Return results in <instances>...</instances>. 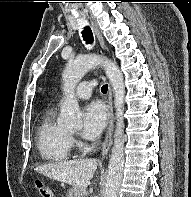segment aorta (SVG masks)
<instances>
[{
	"mask_svg": "<svg viewBox=\"0 0 191 197\" xmlns=\"http://www.w3.org/2000/svg\"><path fill=\"white\" fill-rule=\"evenodd\" d=\"M98 65L104 67L106 76L111 83L116 109L114 145L108 166L104 197H118L124 167L123 115L125 97L124 79L118 65L105 57L97 55H86L68 61L62 74L65 98L61 105V114L58 122L67 128H82L83 123L80 108L75 97L74 89L84 75Z\"/></svg>",
	"mask_w": 191,
	"mask_h": 197,
	"instance_id": "aorta-1",
	"label": "aorta"
}]
</instances>
